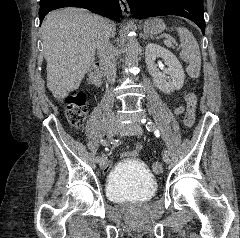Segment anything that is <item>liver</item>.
<instances>
[{
    "mask_svg": "<svg viewBox=\"0 0 240 238\" xmlns=\"http://www.w3.org/2000/svg\"><path fill=\"white\" fill-rule=\"evenodd\" d=\"M101 19L83 9L70 7L52 11L42 23L47 87L57 99L78 89L94 63L99 31L97 22ZM108 23L109 36L114 37L116 28Z\"/></svg>",
    "mask_w": 240,
    "mask_h": 238,
    "instance_id": "liver-1",
    "label": "liver"
}]
</instances>
